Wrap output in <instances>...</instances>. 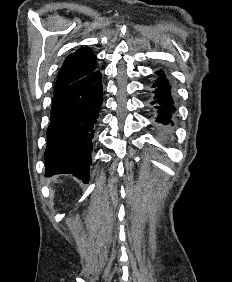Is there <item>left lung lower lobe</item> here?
I'll list each match as a JSON object with an SVG mask.
<instances>
[{"mask_svg": "<svg viewBox=\"0 0 232 282\" xmlns=\"http://www.w3.org/2000/svg\"><path fill=\"white\" fill-rule=\"evenodd\" d=\"M156 73L157 80L151 86V104L157 113L156 122L164 126L168 124L173 125L171 116L175 112V106L171 94V85L163 72L157 71Z\"/></svg>", "mask_w": 232, "mask_h": 282, "instance_id": "obj_1", "label": "left lung lower lobe"}]
</instances>
